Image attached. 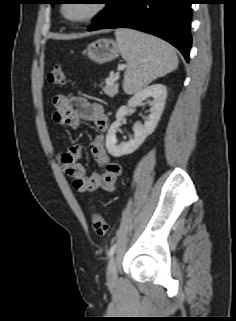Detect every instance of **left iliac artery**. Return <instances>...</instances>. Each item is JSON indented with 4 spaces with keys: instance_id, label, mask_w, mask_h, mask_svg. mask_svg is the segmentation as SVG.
<instances>
[{
    "instance_id": "1",
    "label": "left iliac artery",
    "mask_w": 236,
    "mask_h": 321,
    "mask_svg": "<svg viewBox=\"0 0 236 321\" xmlns=\"http://www.w3.org/2000/svg\"><path fill=\"white\" fill-rule=\"evenodd\" d=\"M115 249H116V244H113L110 249H109V252H108V255L109 257H112L114 252H115Z\"/></svg>"
}]
</instances>
